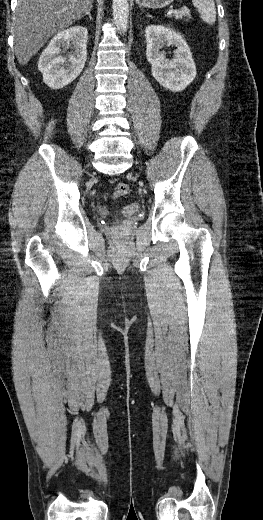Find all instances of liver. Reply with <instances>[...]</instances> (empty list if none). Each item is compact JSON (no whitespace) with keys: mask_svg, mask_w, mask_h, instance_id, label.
<instances>
[{"mask_svg":"<svg viewBox=\"0 0 263 520\" xmlns=\"http://www.w3.org/2000/svg\"><path fill=\"white\" fill-rule=\"evenodd\" d=\"M93 0H18L14 11L15 54L25 65L47 40L79 20Z\"/></svg>","mask_w":263,"mask_h":520,"instance_id":"6515ba94","label":"liver"}]
</instances>
